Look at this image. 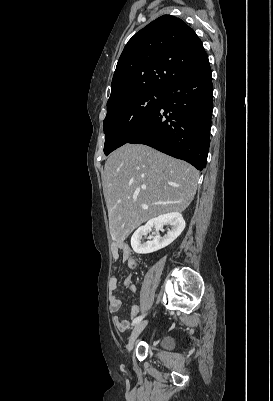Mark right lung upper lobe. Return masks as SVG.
I'll use <instances>...</instances> for the list:
<instances>
[{
	"instance_id": "1",
	"label": "right lung upper lobe",
	"mask_w": 273,
	"mask_h": 401,
	"mask_svg": "<svg viewBox=\"0 0 273 401\" xmlns=\"http://www.w3.org/2000/svg\"><path fill=\"white\" fill-rule=\"evenodd\" d=\"M207 63L208 56L194 30L179 18L161 16L124 47L107 105L142 91H164Z\"/></svg>"
}]
</instances>
